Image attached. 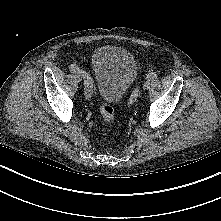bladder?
<instances>
[{"mask_svg":"<svg viewBox=\"0 0 221 221\" xmlns=\"http://www.w3.org/2000/svg\"><path fill=\"white\" fill-rule=\"evenodd\" d=\"M95 85L106 104L118 103L137 76V64L126 49L113 45L97 48L92 55Z\"/></svg>","mask_w":221,"mask_h":221,"instance_id":"31cf9c89","label":"bladder"}]
</instances>
